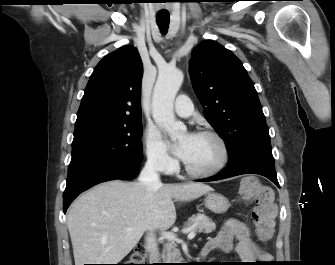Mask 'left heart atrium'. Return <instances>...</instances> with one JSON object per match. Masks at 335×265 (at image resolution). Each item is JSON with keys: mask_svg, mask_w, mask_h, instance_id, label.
I'll return each mask as SVG.
<instances>
[{"mask_svg": "<svg viewBox=\"0 0 335 265\" xmlns=\"http://www.w3.org/2000/svg\"><path fill=\"white\" fill-rule=\"evenodd\" d=\"M192 137L193 135H188L185 141L180 142L174 147L175 153L183 160H185L188 155Z\"/></svg>", "mask_w": 335, "mask_h": 265, "instance_id": "1", "label": "left heart atrium"}]
</instances>
